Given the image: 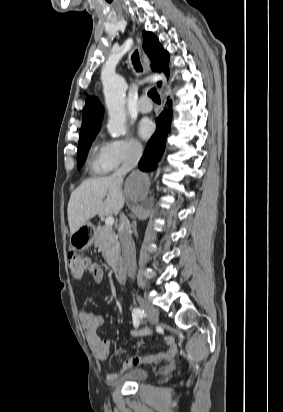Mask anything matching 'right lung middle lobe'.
<instances>
[{
  "mask_svg": "<svg viewBox=\"0 0 283 412\" xmlns=\"http://www.w3.org/2000/svg\"><path fill=\"white\" fill-rule=\"evenodd\" d=\"M97 132L87 134L80 137L77 153V167L80 168L84 163L88 150L91 146L92 141L94 140Z\"/></svg>",
  "mask_w": 283,
  "mask_h": 412,
  "instance_id": "1",
  "label": "right lung middle lobe"
}]
</instances>
